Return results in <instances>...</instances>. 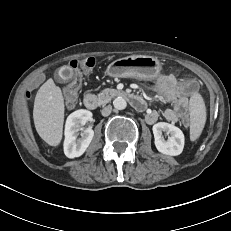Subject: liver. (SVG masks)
Returning a JSON list of instances; mask_svg holds the SVG:
<instances>
[{"label":"liver","mask_w":231,"mask_h":231,"mask_svg":"<svg viewBox=\"0 0 231 231\" xmlns=\"http://www.w3.org/2000/svg\"><path fill=\"white\" fill-rule=\"evenodd\" d=\"M64 111L62 91L50 78L39 88L33 109L36 131L50 146H58L62 140Z\"/></svg>","instance_id":"6515ba94"}]
</instances>
